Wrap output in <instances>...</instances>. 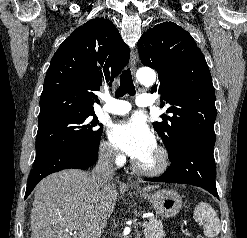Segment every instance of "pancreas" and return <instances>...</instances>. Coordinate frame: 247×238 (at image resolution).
Here are the masks:
<instances>
[{
  "label": "pancreas",
  "instance_id": "cf45deb5",
  "mask_svg": "<svg viewBox=\"0 0 247 238\" xmlns=\"http://www.w3.org/2000/svg\"><path fill=\"white\" fill-rule=\"evenodd\" d=\"M145 238H164L165 232L160 220L150 218L147 225L144 226Z\"/></svg>",
  "mask_w": 247,
  "mask_h": 238
}]
</instances>
